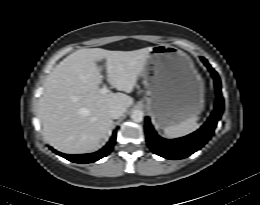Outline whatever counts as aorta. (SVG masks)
<instances>
[{"label":"aorta","mask_w":260,"mask_h":205,"mask_svg":"<svg viewBox=\"0 0 260 205\" xmlns=\"http://www.w3.org/2000/svg\"><path fill=\"white\" fill-rule=\"evenodd\" d=\"M143 116H144V113L142 110H134L131 114V119L134 121V122H142L143 121Z\"/></svg>","instance_id":"obj_1"}]
</instances>
